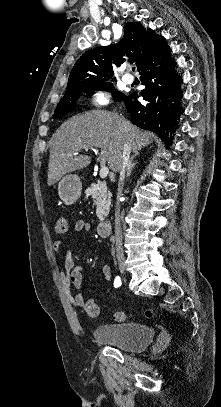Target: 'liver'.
<instances>
[{
	"instance_id": "1",
	"label": "liver",
	"mask_w": 221,
	"mask_h": 407,
	"mask_svg": "<svg viewBox=\"0 0 221 407\" xmlns=\"http://www.w3.org/2000/svg\"><path fill=\"white\" fill-rule=\"evenodd\" d=\"M153 137V133L143 132L113 112L93 110L73 116L56 130L49 142L47 184L52 186L65 174L87 167L91 156L78 155L86 148H100L97 161L108 163L112 171L118 172L124 144L129 143L131 151L138 153Z\"/></svg>"
}]
</instances>
